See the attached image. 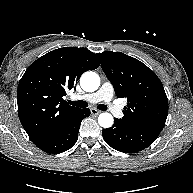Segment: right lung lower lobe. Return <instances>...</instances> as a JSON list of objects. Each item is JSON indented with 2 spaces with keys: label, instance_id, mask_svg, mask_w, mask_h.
Wrapping results in <instances>:
<instances>
[{
  "label": "right lung lower lobe",
  "instance_id": "1",
  "mask_svg": "<svg viewBox=\"0 0 193 193\" xmlns=\"http://www.w3.org/2000/svg\"><path fill=\"white\" fill-rule=\"evenodd\" d=\"M89 115L90 110L88 108L80 109L77 114L69 119L51 137L36 146L44 152L53 154L70 149L78 139L81 121Z\"/></svg>",
  "mask_w": 193,
  "mask_h": 193
}]
</instances>
